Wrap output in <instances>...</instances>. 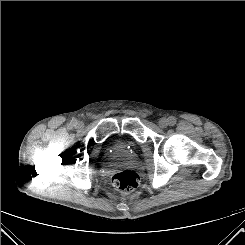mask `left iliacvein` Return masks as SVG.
<instances>
[{
    "mask_svg": "<svg viewBox=\"0 0 245 245\" xmlns=\"http://www.w3.org/2000/svg\"><path fill=\"white\" fill-rule=\"evenodd\" d=\"M168 124H169V122H168V119H166V118H161L159 120V126L162 127V128L167 127Z\"/></svg>",
    "mask_w": 245,
    "mask_h": 245,
    "instance_id": "left-iliac-vein-1",
    "label": "left iliac vein"
}]
</instances>
